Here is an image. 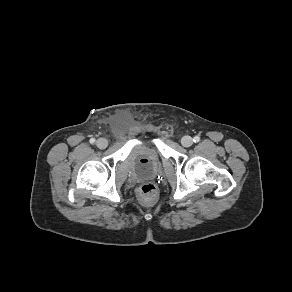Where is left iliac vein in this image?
<instances>
[{"label":"left iliac vein","instance_id":"left-iliac-vein-1","mask_svg":"<svg viewBox=\"0 0 292 292\" xmlns=\"http://www.w3.org/2000/svg\"><path fill=\"white\" fill-rule=\"evenodd\" d=\"M181 144H182L184 147H190V146L193 144V139H192L190 136H184V137L181 139Z\"/></svg>","mask_w":292,"mask_h":292}]
</instances>
